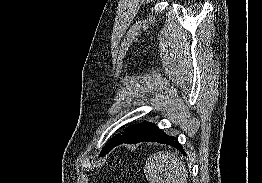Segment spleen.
<instances>
[{
  "label": "spleen",
  "instance_id": "spleen-1",
  "mask_svg": "<svg viewBox=\"0 0 262 183\" xmlns=\"http://www.w3.org/2000/svg\"><path fill=\"white\" fill-rule=\"evenodd\" d=\"M144 172L150 183H185L188 177L183 162L164 151L149 156Z\"/></svg>",
  "mask_w": 262,
  "mask_h": 183
}]
</instances>
